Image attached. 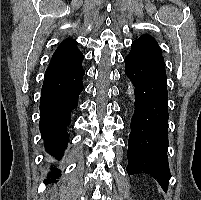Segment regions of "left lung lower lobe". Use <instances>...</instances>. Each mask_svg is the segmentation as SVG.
I'll return each instance as SVG.
<instances>
[{
  "label": "left lung lower lobe",
  "instance_id": "obj_1",
  "mask_svg": "<svg viewBox=\"0 0 201 200\" xmlns=\"http://www.w3.org/2000/svg\"><path fill=\"white\" fill-rule=\"evenodd\" d=\"M125 74L135 92V112L128 140V175L144 173L167 191L171 178L168 149V92L162 56L129 53Z\"/></svg>",
  "mask_w": 201,
  "mask_h": 200
}]
</instances>
